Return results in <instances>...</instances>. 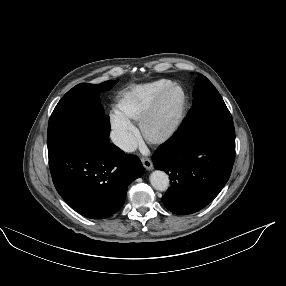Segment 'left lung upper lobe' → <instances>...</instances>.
<instances>
[{"mask_svg":"<svg viewBox=\"0 0 286 286\" xmlns=\"http://www.w3.org/2000/svg\"><path fill=\"white\" fill-rule=\"evenodd\" d=\"M234 133L232 116L214 85L203 75L197 77L193 104L179 130L171 138L180 141L199 134Z\"/></svg>","mask_w":286,"mask_h":286,"instance_id":"obj_1","label":"left lung upper lobe"}]
</instances>
